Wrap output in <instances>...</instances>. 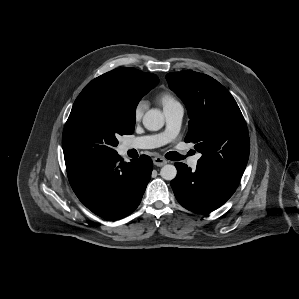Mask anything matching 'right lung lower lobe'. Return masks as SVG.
I'll return each instance as SVG.
<instances>
[{
    "instance_id": "98d812e1",
    "label": "right lung lower lobe",
    "mask_w": 299,
    "mask_h": 299,
    "mask_svg": "<svg viewBox=\"0 0 299 299\" xmlns=\"http://www.w3.org/2000/svg\"><path fill=\"white\" fill-rule=\"evenodd\" d=\"M65 164L79 200L109 220L124 218L138 207L153 167L147 155L127 163L118 154L97 159L65 157Z\"/></svg>"
}]
</instances>
